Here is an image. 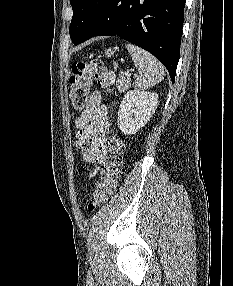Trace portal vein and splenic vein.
<instances>
[{
    "instance_id": "portal-vein-and-splenic-vein-1",
    "label": "portal vein and splenic vein",
    "mask_w": 233,
    "mask_h": 286,
    "mask_svg": "<svg viewBox=\"0 0 233 286\" xmlns=\"http://www.w3.org/2000/svg\"><path fill=\"white\" fill-rule=\"evenodd\" d=\"M124 75L130 77L131 73H129V71H126V72H124Z\"/></svg>"
}]
</instances>
